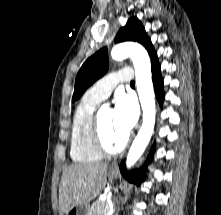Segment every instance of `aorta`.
<instances>
[{
  "instance_id": "1",
  "label": "aorta",
  "mask_w": 221,
  "mask_h": 215,
  "mask_svg": "<svg viewBox=\"0 0 221 215\" xmlns=\"http://www.w3.org/2000/svg\"><path fill=\"white\" fill-rule=\"evenodd\" d=\"M111 57L116 61L130 57L133 61L136 86L143 111L142 126L132 143L126 159L127 168H131L146 149L155 126L156 107L151 63L145 48L133 42L121 43L114 46L111 50Z\"/></svg>"
}]
</instances>
